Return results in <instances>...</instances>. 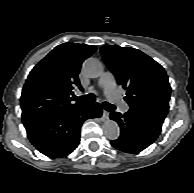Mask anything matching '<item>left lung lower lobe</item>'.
<instances>
[{
  "instance_id": "0a47b994",
  "label": "left lung lower lobe",
  "mask_w": 194,
  "mask_h": 193,
  "mask_svg": "<svg viewBox=\"0 0 194 193\" xmlns=\"http://www.w3.org/2000/svg\"><path fill=\"white\" fill-rule=\"evenodd\" d=\"M110 118L120 126V137L112 146L126 153H137L151 145L159 136L164 120L129 110L123 116L112 112Z\"/></svg>"
}]
</instances>
